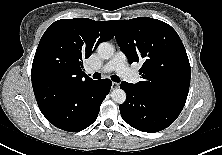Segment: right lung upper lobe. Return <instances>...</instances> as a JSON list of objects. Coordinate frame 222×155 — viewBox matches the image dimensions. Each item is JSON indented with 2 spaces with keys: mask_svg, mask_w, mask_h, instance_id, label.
<instances>
[{
  "mask_svg": "<svg viewBox=\"0 0 222 155\" xmlns=\"http://www.w3.org/2000/svg\"><path fill=\"white\" fill-rule=\"evenodd\" d=\"M114 37L111 21L87 18L55 21L43 34L31 70L33 90L51 85L59 91L93 81L83 69V60L101 42Z\"/></svg>",
  "mask_w": 222,
  "mask_h": 155,
  "instance_id": "cb5924a9",
  "label": "right lung upper lobe"
}]
</instances>
